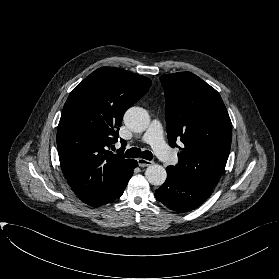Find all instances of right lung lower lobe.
<instances>
[{
	"instance_id": "right-lung-lower-lobe-1",
	"label": "right lung lower lobe",
	"mask_w": 279,
	"mask_h": 279,
	"mask_svg": "<svg viewBox=\"0 0 279 279\" xmlns=\"http://www.w3.org/2000/svg\"><path fill=\"white\" fill-rule=\"evenodd\" d=\"M138 166L137 161L134 160V163L131 167V170L128 172V174L121 180V182L114 187V189H112L111 191H109L107 194L101 196L100 198L88 203V205L91 206H100L106 203H109L117 198H119L122 194L123 191L125 189V187L128 184L129 179L131 178L132 174H133V170L135 167Z\"/></svg>"
}]
</instances>
